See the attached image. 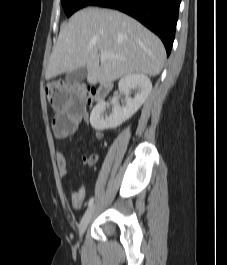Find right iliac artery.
I'll return each mask as SVG.
<instances>
[{
    "label": "right iliac artery",
    "mask_w": 227,
    "mask_h": 265,
    "mask_svg": "<svg viewBox=\"0 0 227 265\" xmlns=\"http://www.w3.org/2000/svg\"><path fill=\"white\" fill-rule=\"evenodd\" d=\"M93 202H94V197H92V198L89 200V202H88V207L92 206Z\"/></svg>",
    "instance_id": "82829eb1"
}]
</instances>
